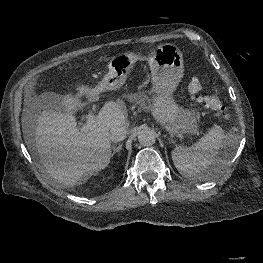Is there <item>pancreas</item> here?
<instances>
[{
  "instance_id": "pancreas-1",
  "label": "pancreas",
  "mask_w": 263,
  "mask_h": 263,
  "mask_svg": "<svg viewBox=\"0 0 263 263\" xmlns=\"http://www.w3.org/2000/svg\"><path fill=\"white\" fill-rule=\"evenodd\" d=\"M126 98L131 102H134L141 106H144L146 102L148 103V106H151L150 99H148V97L142 93L129 94L126 96Z\"/></svg>"
}]
</instances>
